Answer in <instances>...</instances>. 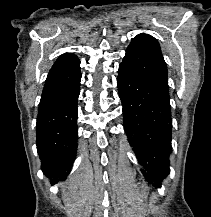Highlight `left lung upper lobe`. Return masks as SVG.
Returning a JSON list of instances; mask_svg holds the SVG:
<instances>
[{"instance_id": "obj_1", "label": "left lung upper lobe", "mask_w": 211, "mask_h": 217, "mask_svg": "<svg viewBox=\"0 0 211 217\" xmlns=\"http://www.w3.org/2000/svg\"><path fill=\"white\" fill-rule=\"evenodd\" d=\"M141 75L159 91L169 96L167 66L158 41L148 34H139L129 44L121 63Z\"/></svg>"}]
</instances>
